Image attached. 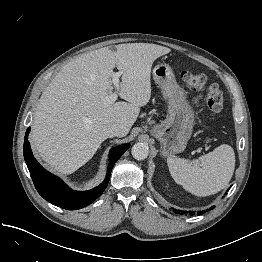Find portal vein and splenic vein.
<instances>
[{"label": "portal vein and splenic vein", "instance_id": "obj_1", "mask_svg": "<svg viewBox=\"0 0 262 262\" xmlns=\"http://www.w3.org/2000/svg\"><path fill=\"white\" fill-rule=\"evenodd\" d=\"M122 75V72H116L112 75V83L114 84L116 90L119 88V78ZM118 94L116 92L110 94L105 98L106 103L113 104L117 100Z\"/></svg>", "mask_w": 262, "mask_h": 262}]
</instances>
